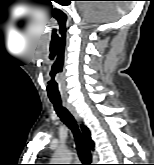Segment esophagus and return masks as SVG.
<instances>
[{"mask_svg": "<svg viewBox=\"0 0 154 165\" xmlns=\"http://www.w3.org/2000/svg\"><path fill=\"white\" fill-rule=\"evenodd\" d=\"M62 103L68 109V111L74 116V118L77 121H79L80 120L79 115H78L76 109L72 106V104L64 98L62 99Z\"/></svg>", "mask_w": 154, "mask_h": 165, "instance_id": "34e87169", "label": "esophagus"}]
</instances>
